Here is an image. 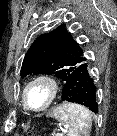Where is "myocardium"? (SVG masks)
Segmentation results:
<instances>
[{
    "label": "myocardium",
    "mask_w": 117,
    "mask_h": 136,
    "mask_svg": "<svg viewBox=\"0 0 117 136\" xmlns=\"http://www.w3.org/2000/svg\"><path fill=\"white\" fill-rule=\"evenodd\" d=\"M35 84H43L47 87L49 91V96L45 105L38 109H34L30 107L27 101L28 90ZM58 93H59V83L55 77L48 74L37 75L33 77L32 79H30L23 89V92H22L23 107L30 112H35V113L43 112L54 102Z\"/></svg>",
    "instance_id": "1"
}]
</instances>
